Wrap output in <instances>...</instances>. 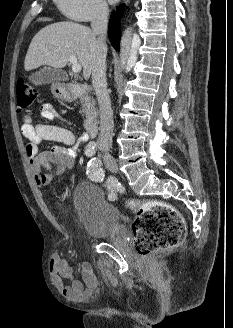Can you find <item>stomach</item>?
<instances>
[{
    "label": "stomach",
    "mask_w": 233,
    "mask_h": 328,
    "mask_svg": "<svg viewBox=\"0 0 233 328\" xmlns=\"http://www.w3.org/2000/svg\"><path fill=\"white\" fill-rule=\"evenodd\" d=\"M54 95L62 99H71V95L67 91H61V92L54 91Z\"/></svg>",
    "instance_id": "stomach-1"
}]
</instances>
